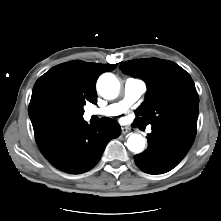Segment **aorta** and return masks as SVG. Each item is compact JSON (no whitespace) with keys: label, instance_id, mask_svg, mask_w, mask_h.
<instances>
[{"label":"aorta","instance_id":"1","mask_svg":"<svg viewBox=\"0 0 221 221\" xmlns=\"http://www.w3.org/2000/svg\"><path fill=\"white\" fill-rule=\"evenodd\" d=\"M97 89L105 99H114L120 91L118 79L111 73L102 74L97 81ZM127 147L131 152L141 153L145 148V139L140 134H132L127 140Z\"/></svg>","mask_w":221,"mask_h":221}]
</instances>
